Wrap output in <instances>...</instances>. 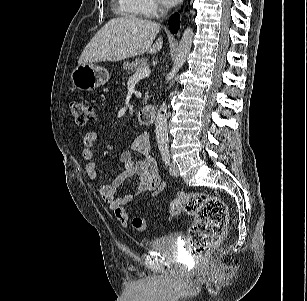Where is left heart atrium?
<instances>
[{
	"label": "left heart atrium",
	"instance_id": "39dd6f15",
	"mask_svg": "<svg viewBox=\"0 0 307 301\" xmlns=\"http://www.w3.org/2000/svg\"><path fill=\"white\" fill-rule=\"evenodd\" d=\"M166 6H175L180 0H160Z\"/></svg>",
	"mask_w": 307,
	"mask_h": 301
}]
</instances>
